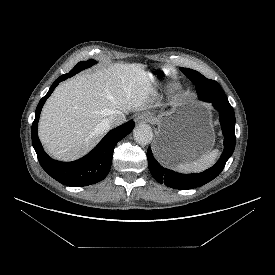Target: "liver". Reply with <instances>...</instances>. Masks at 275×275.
Instances as JSON below:
<instances>
[{
  "label": "liver",
  "instance_id": "liver-1",
  "mask_svg": "<svg viewBox=\"0 0 275 275\" xmlns=\"http://www.w3.org/2000/svg\"><path fill=\"white\" fill-rule=\"evenodd\" d=\"M144 64H110L61 83L41 113L38 133L55 159L70 161L88 153L109 130L116 112L144 110L154 78Z\"/></svg>",
  "mask_w": 275,
  "mask_h": 275
}]
</instances>
